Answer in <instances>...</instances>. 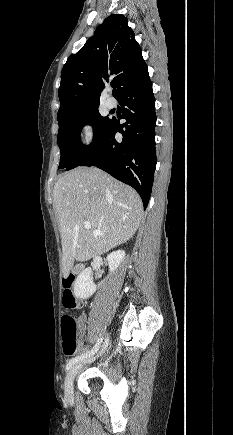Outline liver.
Masks as SVG:
<instances>
[{
	"instance_id": "1",
	"label": "liver",
	"mask_w": 233,
	"mask_h": 435,
	"mask_svg": "<svg viewBox=\"0 0 233 435\" xmlns=\"http://www.w3.org/2000/svg\"><path fill=\"white\" fill-rule=\"evenodd\" d=\"M53 204L62 238L64 277L75 260L88 261L128 241L136 233L143 211L133 188L95 167L76 168L60 177L54 186ZM86 221L91 228L84 227ZM95 230L104 235H95Z\"/></svg>"
}]
</instances>
